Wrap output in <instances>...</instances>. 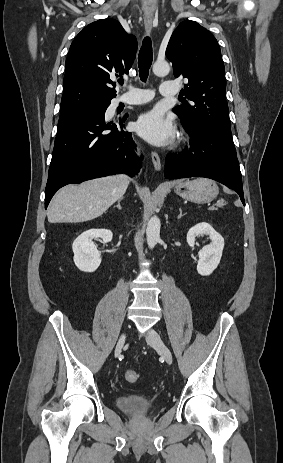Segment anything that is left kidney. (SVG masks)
<instances>
[{"instance_id": "left-kidney-1", "label": "left kidney", "mask_w": 283, "mask_h": 463, "mask_svg": "<svg viewBox=\"0 0 283 463\" xmlns=\"http://www.w3.org/2000/svg\"><path fill=\"white\" fill-rule=\"evenodd\" d=\"M199 235H209L212 241L198 252L197 272L202 276H209L220 263L224 239L210 224L201 222L190 228L187 233V243L190 247H194L195 238Z\"/></svg>"}]
</instances>
